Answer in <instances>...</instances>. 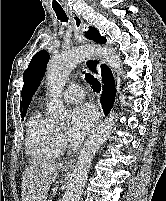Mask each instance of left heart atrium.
<instances>
[{"label":"left heart atrium","mask_w":166,"mask_h":201,"mask_svg":"<svg viewBox=\"0 0 166 201\" xmlns=\"http://www.w3.org/2000/svg\"><path fill=\"white\" fill-rule=\"evenodd\" d=\"M97 121V114L89 104L79 105L71 113L69 138L72 143L81 142Z\"/></svg>","instance_id":"1"}]
</instances>
